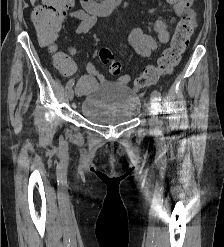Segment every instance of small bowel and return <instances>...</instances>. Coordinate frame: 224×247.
<instances>
[{
  "mask_svg": "<svg viewBox=\"0 0 224 247\" xmlns=\"http://www.w3.org/2000/svg\"><path fill=\"white\" fill-rule=\"evenodd\" d=\"M167 3L173 7V13L176 17L182 16L185 13L193 15L190 7L193 0H166ZM69 16L80 20L79 26L75 29L77 34H86L91 27L95 24L96 17L92 14L85 12L84 10H76L69 13ZM175 18H173L174 20ZM154 30L157 33L158 40L161 43L169 41L171 36V29L168 27L165 21L157 19L154 22ZM128 42L135 52L142 56H149L157 48V41L151 35L145 33L141 27L134 28L128 38ZM170 73V72H168ZM130 75L125 74L118 78V83L127 85L130 82ZM141 87L135 86V90H140Z\"/></svg>",
  "mask_w": 224,
  "mask_h": 247,
  "instance_id": "obj_1",
  "label": "small bowel"
}]
</instances>
